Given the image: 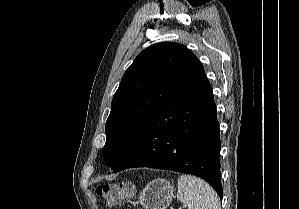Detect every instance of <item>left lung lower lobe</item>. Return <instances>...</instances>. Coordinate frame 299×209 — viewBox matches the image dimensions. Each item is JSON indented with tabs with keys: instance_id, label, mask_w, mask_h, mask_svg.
Returning <instances> with one entry per match:
<instances>
[{
	"instance_id": "left-lung-lower-lobe-1",
	"label": "left lung lower lobe",
	"mask_w": 299,
	"mask_h": 209,
	"mask_svg": "<svg viewBox=\"0 0 299 209\" xmlns=\"http://www.w3.org/2000/svg\"><path fill=\"white\" fill-rule=\"evenodd\" d=\"M220 147L216 104L203 70L159 109L113 172L147 166L190 173L222 199Z\"/></svg>"
}]
</instances>
